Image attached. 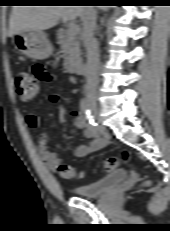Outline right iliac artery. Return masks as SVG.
<instances>
[{
	"label": "right iliac artery",
	"mask_w": 170,
	"mask_h": 231,
	"mask_svg": "<svg viewBox=\"0 0 170 231\" xmlns=\"http://www.w3.org/2000/svg\"><path fill=\"white\" fill-rule=\"evenodd\" d=\"M81 114L87 121L88 128L98 136V128L97 123L95 122L93 116L91 115V111L89 109V104L87 99L83 98L80 102Z\"/></svg>",
	"instance_id": "82829eb1"
}]
</instances>
